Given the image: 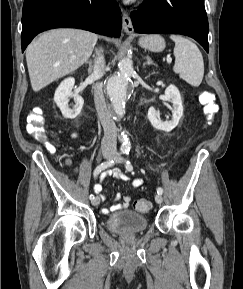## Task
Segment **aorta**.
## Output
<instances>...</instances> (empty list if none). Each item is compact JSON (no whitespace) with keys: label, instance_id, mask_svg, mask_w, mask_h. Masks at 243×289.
<instances>
[{"label":"aorta","instance_id":"762f6f07","mask_svg":"<svg viewBox=\"0 0 243 289\" xmlns=\"http://www.w3.org/2000/svg\"><path fill=\"white\" fill-rule=\"evenodd\" d=\"M134 73L132 61L123 58L118 65V72L109 78L106 86L108 97L110 98L115 114L122 117L125 114V103L127 99V91L130 78ZM125 141L121 147V151L130 150V141L124 136Z\"/></svg>","mask_w":243,"mask_h":289}]
</instances>
